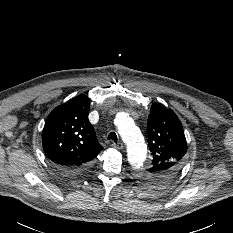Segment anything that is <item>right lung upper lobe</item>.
<instances>
[{
  "mask_svg": "<svg viewBox=\"0 0 233 233\" xmlns=\"http://www.w3.org/2000/svg\"><path fill=\"white\" fill-rule=\"evenodd\" d=\"M90 99L79 95L56 107L47 117L42 144L47 157L67 172L89 166L103 147L88 120Z\"/></svg>",
  "mask_w": 233,
  "mask_h": 233,
  "instance_id": "cb5924a9",
  "label": "right lung upper lobe"
}]
</instances>
